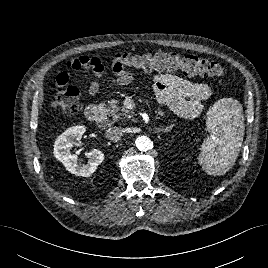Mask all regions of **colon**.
<instances>
[{
    "label": "colon",
    "instance_id": "colon-1",
    "mask_svg": "<svg viewBox=\"0 0 268 268\" xmlns=\"http://www.w3.org/2000/svg\"><path fill=\"white\" fill-rule=\"evenodd\" d=\"M115 70H180L185 76L221 77L224 70L220 64L195 55L157 52L154 54L117 53L112 58ZM80 91L71 86L55 94L51 105L67 113H75L79 109Z\"/></svg>",
    "mask_w": 268,
    "mask_h": 268
}]
</instances>
